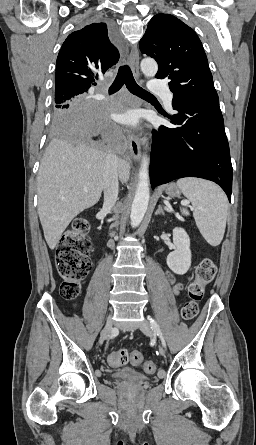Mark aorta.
<instances>
[{
	"instance_id": "1",
	"label": "aorta",
	"mask_w": 256,
	"mask_h": 445,
	"mask_svg": "<svg viewBox=\"0 0 256 445\" xmlns=\"http://www.w3.org/2000/svg\"><path fill=\"white\" fill-rule=\"evenodd\" d=\"M141 71L146 77H154L158 71V65L154 59L145 58L141 61ZM150 198L149 188V158L143 155L139 170V180L134 200L131 207V226L137 227L144 218Z\"/></svg>"
}]
</instances>
